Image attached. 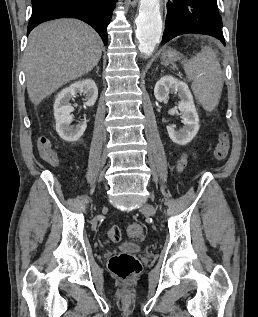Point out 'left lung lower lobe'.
<instances>
[{
  "label": "left lung lower lobe",
  "mask_w": 258,
  "mask_h": 317,
  "mask_svg": "<svg viewBox=\"0 0 258 317\" xmlns=\"http://www.w3.org/2000/svg\"><path fill=\"white\" fill-rule=\"evenodd\" d=\"M188 33L210 35L224 45L217 0H169L162 43Z\"/></svg>",
  "instance_id": "0a47b994"
}]
</instances>
